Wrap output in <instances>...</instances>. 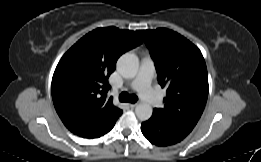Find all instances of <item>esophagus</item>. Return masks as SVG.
I'll return each instance as SVG.
<instances>
[{
  "label": "esophagus",
  "mask_w": 261,
  "mask_h": 162,
  "mask_svg": "<svg viewBox=\"0 0 261 162\" xmlns=\"http://www.w3.org/2000/svg\"><path fill=\"white\" fill-rule=\"evenodd\" d=\"M137 105H138V103L129 104V106H130L131 108H134V107H136Z\"/></svg>",
  "instance_id": "1"
}]
</instances>
